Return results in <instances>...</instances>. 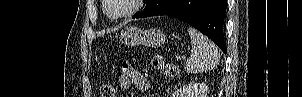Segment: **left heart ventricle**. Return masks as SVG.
Returning <instances> with one entry per match:
<instances>
[{"instance_id": "b2bd125f", "label": "left heart ventricle", "mask_w": 302, "mask_h": 97, "mask_svg": "<svg viewBox=\"0 0 302 97\" xmlns=\"http://www.w3.org/2000/svg\"><path fill=\"white\" fill-rule=\"evenodd\" d=\"M109 4L110 11L116 15L126 12L132 5L131 0H110Z\"/></svg>"}]
</instances>
